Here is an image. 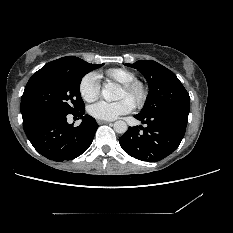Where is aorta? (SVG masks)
<instances>
[{"instance_id":"1","label":"aorta","mask_w":233,"mask_h":233,"mask_svg":"<svg viewBox=\"0 0 233 233\" xmlns=\"http://www.w3.org/2000/svg\"><path fill=\"white\" fill-rule=\"evenodd\" d=\"M121 91L122 89L119 86L113 83H108L105 84L102 89V96L108 102L116 101L120 99ZM114 130L120 134L125 133L128 130L126 122L122 120L116 121L114 123Z\"/></svg>"}]
</instances>
